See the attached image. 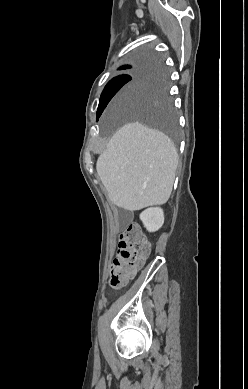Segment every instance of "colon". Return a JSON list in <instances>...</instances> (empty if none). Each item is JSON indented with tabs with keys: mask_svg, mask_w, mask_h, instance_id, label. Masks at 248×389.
I'll return each mask as SVG.
<instances>
[{
	"mask_svg": "<svg viewBox=\"0 0 248 389\" xmlns=\"http://www.w3.org/2000/svg\"><path fill=\"white\" fill-rule=\"evenodd\" d=\"M149 253V241L141 234L138 224L131 223L119 237L118 256L111 265V286H126Z\"/></svg>",
	"mask_w": 248,
	"mask_h": 389,
	"instance_id": "1",
	"label": "colon"
}]
</instances>
